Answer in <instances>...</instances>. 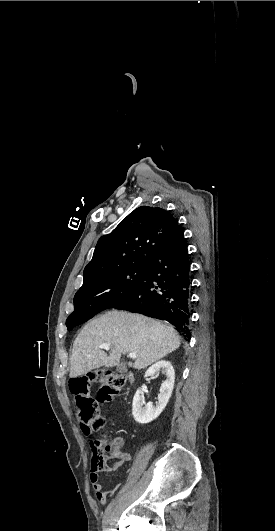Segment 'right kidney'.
Masks as SVG:
<instances>
[{
  "mask_svg": "<svg viewBox=\"0 0 275 531\" xmlns=\"http://www.w3.org/2000/svg\"><path fill=\"white\" fill-rule=\"evenodd\" d=\"M158 371H163L167 379L160 387V393L155 407L153 403H146L145 407H143L144 403H142L139 389L133 397L132 415L136 423H141V425L151 423V421H154V419L159 417L160 413L165 409L174 389L175 373L170 361H158V363H155V365H152V367L147 369L144 377H152V375H156Z\"/></svg>",
  "mask_w": 275,
  "mask_h": 531,
  "instance_id": "ca27d5eb",
  "label": "right kidney"
}]
</instances>
